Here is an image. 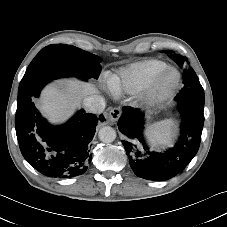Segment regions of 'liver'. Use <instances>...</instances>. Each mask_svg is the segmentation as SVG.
<instances>
[{
    "label": "liver",
    "instance_id": "1",
    "mask_svg": "<svg viewBox=\"0 0 227 227\" xmlns=\"http://www.w3.org/2000/svg\"><path fill=\"white\" fill-rule=\"evenodd\" d=\"M65 87L47 86L41 95L37 107L52 122H61L69 118L77 103L98 93L97 88L78 79L64 81Z\"/></svg>",
    "mask_w": 227,
    "mask_h": 227
}]
</instances>
